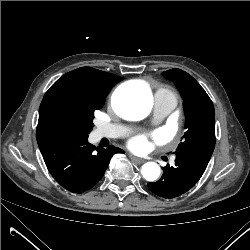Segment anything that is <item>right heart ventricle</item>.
Segmentation results:
<instances>
[{
	"mask_svg": "<svg viewBox=\"0 0 250 250\" xmlns=\"http://www.w3.org/2000/svg\"><path fill=\"white\" fill-rule=\"evenodd\" d=\"M158 95L173 99V100H175L177 102V98H176L175 93L168 87H159L155 91V97L158 96Z\"/></svg>",
	"mask_w": 250,
	"mask_h": 250,
	"instance_id": "e07e8e85",
	"label": "right heart ventricle"
}]
</instances>
